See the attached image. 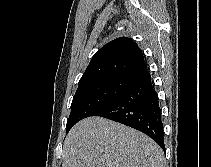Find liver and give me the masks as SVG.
<instances>
[{"label": "liver", "instance_id": "1", "mask_svg": "<svg viewBox=\"0 0 211 167\" xmlns=\"http://www.w3.org/2000/svg\"><path fill=\"white\" fill-rule=\"evenodd\" d=\"M63 167H165V160L162 149L145 134L102 117H89L66 136Z\"/></svg>", "mask_w": 211, "mask_h": 167}]
</instances>
